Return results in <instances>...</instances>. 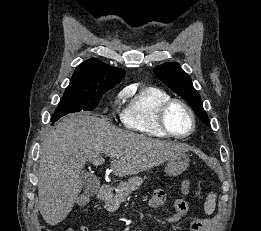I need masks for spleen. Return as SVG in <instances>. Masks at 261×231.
<instances>
[{"instance_id":"spleen-1","label":"spleen","mask_w":261,"mask_h":231,"mask_svg":"<svg viewBox=\"0 0 261 231\" xmlns=\"http://www.w3.org/2000/svg\"><path fill=\"white\" fill-rule=\"evenodd\" d=\"M215 206H216V194L210 193L208 194L207 200L205 202V206H204L205 212L207 214H211L214 211Z\"/></svg>"}]
</instances>
